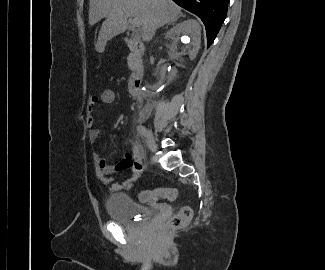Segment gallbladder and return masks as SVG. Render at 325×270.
Masks as SVG:
<instances>
[{
    "label": "gallbladder",
    "instance_id": "bac80fb5",
    "mask_svg": "<svg viewBox=\"0 0 325 270\" xmlns=\"http://www.w3.org/2000/svg\"><path fill=\"white\" fill-rule=\"evenodd\" d=\"M131 37H132V38H136V35H135V34H132Z\"/></svg>",
    "mask_w": 325,
    "mask_h": 270
}]
</instances>
